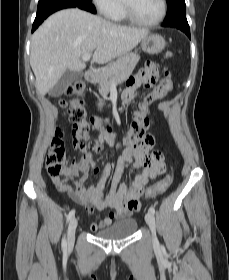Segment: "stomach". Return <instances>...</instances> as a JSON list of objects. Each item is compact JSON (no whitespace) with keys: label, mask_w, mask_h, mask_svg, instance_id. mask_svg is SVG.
<instances>
[{"label":"stomach","mask_w":229,"mask_h":280,"mask_svg":"<svg viewBox=\"0 0 229 280\" xmlns=\"http://www.w3.org/2000/svg\"><path fill=\"white\" fill-rule=\"evenodd\" d=\"M142 50L148 54H158L165 47V40L161 35L151 34L142 39Z\"/></svg>","instance_id":"obj_1"}]
</instances>
